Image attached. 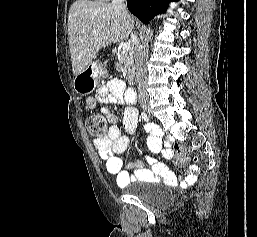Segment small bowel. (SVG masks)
Wrapping results in <instances>:
<instances>
[{
	"label": "small bowel",
	"instance_id": "obj_1",
	"mask_svg": "<svg viewBox=\"0 0 257 237\" xmlns=\"http://www.w3.org/2000/svg\"><path fill=\"white\" fill-rule=\"evenodd\" d=\"M125 84L118 78L111 79L107 84L98 88L96 95L87 98L86 105L89 108H95L97 103H102L100 109L102 116L111 124L107 136L102 139L94 140V146L99 157L105 161L106 170L109 174L116 177V183L119 187L126 186L131 181L144 180L147 182L163 181L169 185H175L180 180L193 182L199 172L196 165L189 167L185 175H177L169 170L164 164L155 158L156 152L162 146L161 131L151 125H146L149 132L148 147L150 154L147 156L151 163L152 170L143 167V163L137 161L123 168L120 155L124 153L130 144L129 137L122 134L121 128L129 133L134 132L138 122V111L133 106L125 107L121 119L111 112L105 105L123 104L125 102ZM166 157H170L172 152L169 148L164 149ZM184 162L188 161L185 157Z\"/></svg>",
	"mask_w": 257,
	"mask_h": 237
}]
</instances>
